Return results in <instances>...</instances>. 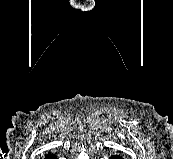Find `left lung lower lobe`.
<instances>
[{"mask_svg": "<svg viewBox=\"0 0 173 159\" xmlns=\"http://www.w3.org/2000/svg\"><path fill=\"white\" fill-rule=\"evenodd\" d=\"M110 159H122V158L118 155H114V156H111Z\"/></svg>", "mask_w": 173, "mask_h": 159, "instance_id": "0a47b994", "label": "left lung lower lobe"}]
</instances>
